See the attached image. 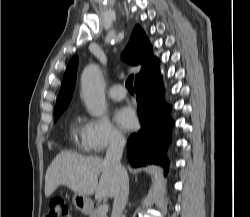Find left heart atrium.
I'll list each match as a JSON object with an SVG mask.
<instances>
[{"label":"left heart atrium","mask_w":250,"mask_h":217,"mask_svg":"<svg viewBox=\"0 0 250 217\" xmlns=\"http://www.w3.org/2000/svg\"><path fill=\"white\" fill-rule=\"evenodd\" d=\"M116 122L124 129H132L136 125V117L129 107H121L115 112Z\"/></svg>","instance_id":"39dd6f15"}]
</instances>
